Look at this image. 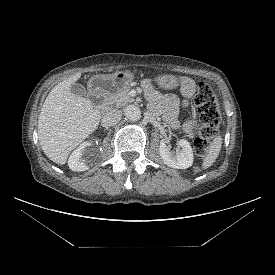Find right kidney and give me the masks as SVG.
Segmentation results:
<instances>
[{
	"label": "right kidney",
	"mask_w": 275,
	"mask_h": 275,
	"mask_svg": "<svg viewBox=\"0 0 275 275\" xmlns=\"http://www.w3.org/2000/svg\"><path fill=\"white\" fill-rule=\"evenodd\" d=\"M90 146V142H84L76 150L72 152L68 160V166L72 171L81 172L88 169V166L85 164L82 157L83 152L86 150V148Z\"/></svg>",
	"instance_id": "obj_1"
}]
</instances>
